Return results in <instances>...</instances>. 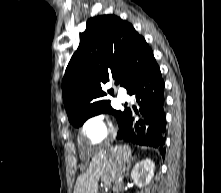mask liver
I'll list each match as a JSON object with an SVG mask.
<instances>
[{"instance_id":"6515ba94","label":"liver","mask_w":221,"mask_h":193,"mask_svg":"<svg viewBox=\"0 0 221 193\" xmlns=\"http://www.w3.org/2000/svg\"><path fill=\"white\" fill-rule=\"evenodd\" d=\"M131 154L128 145L97 150L87 171L78 176L74 193H97L100 178L110 185L114 182L118 162H128Z\"/></svg>"}]
</instances>
